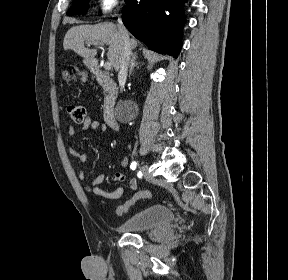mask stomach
I'll use <instances>...</instances> for the list:
<instances>
[{"label":"stomach","instance_id":"stomach-1","mask_svg":"<svg viewBox=\"0 0 288 280\" xmlns=\"http://www.w3.org/2000/svg\"><path fill=\"white\" fill-rule=\"evenodd\" d=\"M92 63V59H84V64L90 66Z\"/></svg>","mask_w":288,"mask_h":280}]
</instances>
